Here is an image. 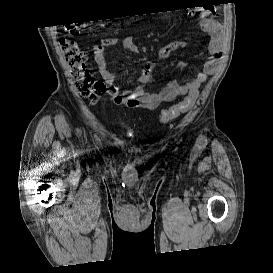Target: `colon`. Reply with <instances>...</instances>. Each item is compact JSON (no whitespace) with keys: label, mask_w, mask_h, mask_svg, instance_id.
I'll use <instances>...</instances> for the list:
<instances>
[{"label":"colon","mask_w":273,"mask_h":273,"mask_svg":"<svg viewBox=\"0 0 273 273\" xmlns=\"http://www.w3.org/2000/svg\"><path fill=\"white\" fill-rule=\"evenodd\" d=\"M80 29L76 25H70L65 34L60 37L59 47L64 62L69 68L70 76L74 80L76 92L82 98L95 103L106 91V86L102 80L94 76V73L87 65V53L73 39L79 33ZM195 98L196 93L191 92L182 101L163 109L160 112V121L168 123L187 112L193 105Z\"/></svg>","instance_id":"1"}]
</instances>
